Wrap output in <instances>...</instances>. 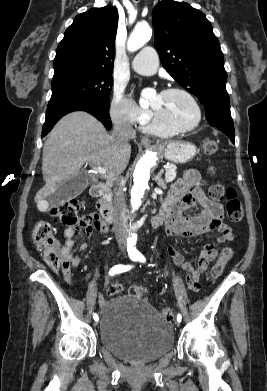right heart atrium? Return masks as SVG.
Masks as SVG:
<instances>
[{
    "label": "right heart atrium",
    "instance_id": "d8ad5b80",
    "mask_svg": "<svg viewBox=\"0 0 267 391\" xmlns=\"http://www.w3.org/2000/svg\"><path fill=\"white\" fill-rule=\"evenodd\" d=\"M109 112L113 122L128 126L145 125L151 117L149 111L140 109L120 91L114 92Z\"/></svg>",
    "mask_w": 267,
    "mask_h": 391
}]
</instances>
